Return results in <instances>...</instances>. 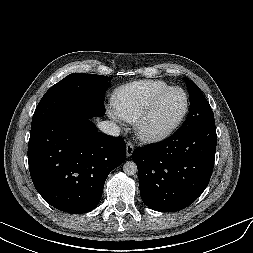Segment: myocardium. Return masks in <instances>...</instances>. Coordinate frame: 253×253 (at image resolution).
<instances>
[{
  "mask_svg": "<svg viewBox=\"0 0 253 253\" xmlns=\"http://www.w3.org/2000/svg\"><path fill=\"white\" fill-rule=\"evenodd\" d=\"M172 91H180L182 92L185 104L184 108L180 114V116L177 118V120L172 123L169 127L163 129V130H150L147 128V121L154 112L155 108L157 107L160 100L166 96L168 93ZM189 97L187 92L179 87V86H170L169 88L161 91L158 93L148 104L144 112L141 114V116L138 118L135 124V130L139 138L146 142H159L162 141L168 137H170L177 129L181 126L183 121L185 120L188 111H189Z\"/></svg>",
  "mask_w": 253,
  "mask_h": 253,
  "instance_id": "obj_1",
  "label": "myocardium"
}]
</instances>
